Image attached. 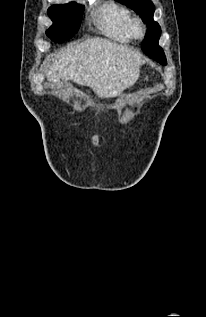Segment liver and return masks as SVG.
<instances>
[{"instance_id":"1","label":"liver","mask_w":206,"mask_h":317,"mask_svg":"<svg viewBox=\"0 0 206 317\" xmlns=\"http://www.w3.org/2000/svg\"><path fill=\"white\" fill-rule=\"evenodd\" d=\"M144 62L132 48L93 38L67 49L52 64L47 79L52 83L73 80L91 87L100 97H116L134 85Z\"/></svg>"}]
</instances>
